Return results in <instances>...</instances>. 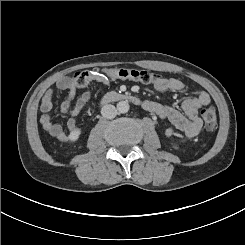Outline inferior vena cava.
Here are the masks:
<instances>
[{
	"label": "inferior vena cava",
	"instance_id": "602c4592",
	"mask_svg": "<svg viewBox=\"0 0 245 245\" xmlns=\"http://www.w3.org/2000/svg\"><path fill=\"white\" fill-rule=\"evenodd\" d=\"M101 114L104 118L113 119L117 115V110H116L115 106H113L111 104H107V105L102 107Z\"/></svg>",
	"mask_w": 245,
	"mask_h": 245
}]
</instances>
